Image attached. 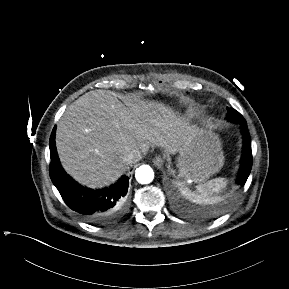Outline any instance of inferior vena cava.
Here are the masks:
<instances>
[{"instance_id":"obj_1","label":"inferior vena cava","mask_w":289,"mask_h":289,"mask_svg":"<svg viewBox=\"0 0 289 289\" xmlns=\"http://www.w3.org/2000/svg\"><path fill=\"white\" fill-rule=\"evenodd\" d=\"M147 151H148L147 146H143L140 149H134L129 154H127L125 160L130 163L137 162L142 159L143 155H145Z\"/></svg>"}]
</instances>
